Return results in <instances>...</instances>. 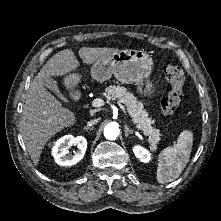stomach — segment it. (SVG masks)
<instances>
[{
  "mask_svg": "<svg viewBox=\"0 0 221 221\" xmlns=\"http://www.w3.org/2000/svg\"><path fill=\"white\" fill-rule=\"evenodd\" d=\"M152 69L153 59L146 51L125 49L94 62L91 67V76L96 81L104 82L113 75L123 84L138 85V92L147 95L151 94L154 89L152 82L148 80ZM66 79L72 84L79 80L76 74H70Z\"/></svg>",
  "mask_w": 221,
  "mask_h": 221,
  "instance_id": "obj_1",
  "label": "stomach"
}]
</instances>
